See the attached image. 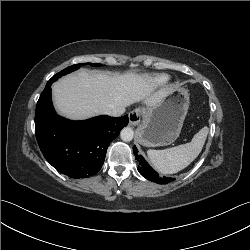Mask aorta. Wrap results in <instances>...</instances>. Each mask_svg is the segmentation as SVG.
Instances as JSON below:
<instances>
[{
    "mask_svg": "<svg viewBox=\"0 0 250 250\" xmlns=\"http://www.w3.org/2000/svg\"><path fill=\"white\" fill-rule=\"evenodd\" d=\"M134 131L130 127H125L121 130L120 137L123 141L129 142L133 139Z\"/></svg>",
    "mask_w": 250,
    "mask_h": 250,
    "instance_id": "1",
    "label": "aorta"
}]
</instances>
